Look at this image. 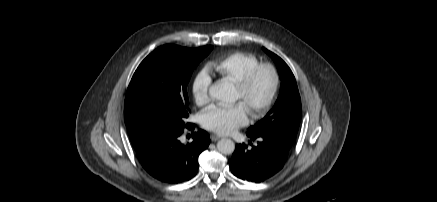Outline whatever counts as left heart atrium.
<instances>
[{
    "instance_id": "obj_1",
    "label": "left heart atrium",
    "mask_w": 437,
    "mask_h": 202,
    "mask_svg": "<svg viewBox=\"0 0 437 202\" xmlns=\"http://www.w3.org/2000/svg\"><path fill=\"white\" fill-rule=\"evenodd\" d=\"M248 121V110L242 102L229 106H212L202 114L204 128L220 135L232 133Z\"/></svg>"
}]
</instances>
